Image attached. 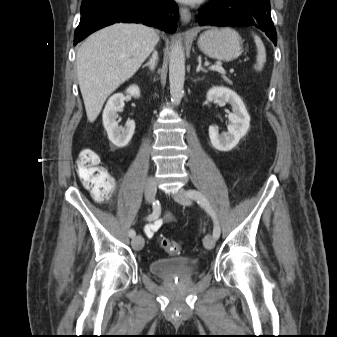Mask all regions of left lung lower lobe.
<instances>
[{
    "label": "left lung lower lobe",
    "instance_id": "left-lung-lower-lobe-1",
    "mask_svg": "<svg viewBox=\"0 0 337 337\" xmlns=\"http://www.w3.org/2000/svg\"><path fill=\"white\" fill-rule=\"evenodd\" d=\"M197 18L200 26H255L277 44L269 0H212Z\"/></svg>",
    "mask_w": 337,
    "mask_h": 337
}]
</instances>
